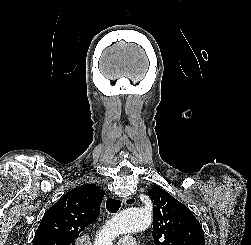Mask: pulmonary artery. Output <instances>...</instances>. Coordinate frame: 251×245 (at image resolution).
<instances>
[{
	"label": "pulmonary artery",
	"mask_w": 251,
	"mask_h": 245,
	"mask_svg": "<svg viewBox=\"0 0 251 245\" xmlns=\"http://www.w3.org/2000/svg\"><path fill=\"white\" fill-rule=\"evenodd\" d=\"M116 245H136V241L132 237H126L120 239Z\"/></svg>",
	"instance_id": "1"
}]
</instances>
